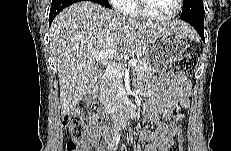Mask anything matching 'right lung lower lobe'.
Wrapping results in <instances>:
<instances>
[{
  "label": "right lung lower lobe",
  "instance_id": "obj_1",
  "mask_svg": "<svg viewBox=\"0 0 231 151\" xmlns=\"http://www.w3.org/2000/svg\"><path fill=\"white\" fill-rule=\"evenodd\" d=\"M78 2V0H52L50 14H49V24L53 21L55 16L65 7ZM93 2H96L102 6H105L107 8H110V5L105 0H93Z\"/></svg>",
  "mask_w": 231,
  "mask_h": 151
}]
</instances>
